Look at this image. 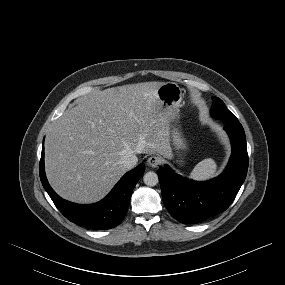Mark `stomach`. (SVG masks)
Segmentation results:
<instances>
[{"label": "stomach", "instance_id": "0dacf381", "mask_svg": "<svg viewBox=\"0 0 285 285\" xmlns=\"http://www.w3.org/2000/svg\"><path fill=\"white\" fill-rule=\"evenodd\" d=\"M158 97L161 104L166 108L172 115L170 124V136L177 149H184L185 142L180 132L173 127L172 122L176 118L180 103L183 97V89L174 82L162 83L157 90ZM182 163V161H181Z\"/></svg>", "mask_w": 285, "mask_h": 285}]
</instances>
